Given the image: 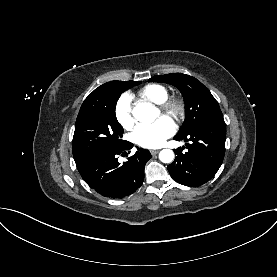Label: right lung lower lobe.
Wrapping results in <instances>:
<instances>
[{"label":"right lung lower lobe","mask_w":277,"mask_h":277,"mask_svg":"<svg viewBox=\"0 0 277 277\" xmlns=\"http://www.w3.org/2000/svg\"><path fill=\"white\" fill-rule=\"evenodd\" d=\"M132 147L133 144L127 142L120 148L98 151L75 161L77 169L96 192L109 198H123L141 187L145 164L151 158L148 150L137 148V152L120 165L118 155Z\"/></svg>","instance_id":"1"}]
</instances>
